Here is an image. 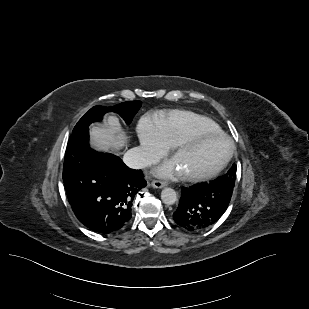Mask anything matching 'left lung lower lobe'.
Returning a JSON list of instances; mask_svg holds the SVG:
<instances>
[{"mask_svg": "<svg viewBox=\"0 0 309 309\" xmlns=\"http://www.w3.org/2000/svg\"><path fill=\"white\" fill-rule=\"evenodd\" d=\"M233 186L219 185L215 181L182 187L179 206L173 219L188 231H202L214 225L226 211Z\"/></svg>", "mask_w": 309, "mask_h": 309, "instance_id": "obj_1", "label": "left lung lower lobe"}]
</instances>
